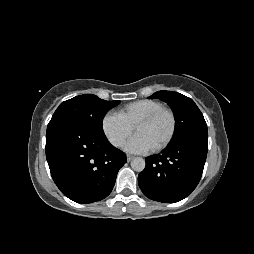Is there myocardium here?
<instances>
[{"mask_svg":"<svg viewBox=\"0 0 254 254\" xmlns=\"http://www.w3.org/2000/svg\"><path fill=\"white\" fill-rule=\"evenodd\" d=\"M161 114H167L170 117L171 129H170L168 136L165 138V140L163 142H161L159 145L152 148L154 151H160V150L164 149L173 140L175 133H176V128H177V119H176V115H175L174 111L170 108H167V107L159 108V109L153 111L152 113L148 114L147 116L143 117L142 119H140L134 126V129H136L138 126L146 125V124L152 122L153 120H155Z\"/></svg>","mask_w":254,"mask_h":254,"instance_id":"obj_1","label":"myocardium"}]
</instances>
